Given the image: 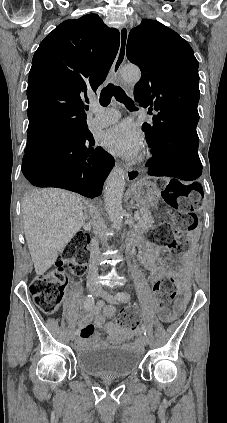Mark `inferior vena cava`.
Listing matches in <instances>:
<instances>
[{
  "label": "inferior vena cava",
  "mask_w": 227,
  "mask_h": 423,
  "mask_svg": "<svg viewBox=\"0 0 227 423\" xmlns=\"http://www.w3.org/2000/svg\"><path fill=\"white\" fill-rule=\"evenodd\" d=\"M93 223L95 225H102L103 219L101 217H92ZM91 253L89 259V271H88V279H97L98 277V265H97V257L99 255V237H92L91 239Z\"/></svg>",
  "instance_id": "602c4592"
}]
</instances>
